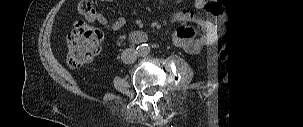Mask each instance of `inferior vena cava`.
<instances>
[{
	"mask_svg": "<svg viewBox=\"0 0 303 127\" xmlns=\"http://www.w3.org/2000/svg\"><path fill=\"white\" fill-rule=\"evenodd\" d=\"M137 58H138V53L133 48L125 49L121 55V59L125 64L134 63L137 60Z\"/></svg>",
	"mask_w": 303,
	"mask_h": 127,
	"instance_id": "1",
	"label": "inferior vena cava"
}]
</instances>
